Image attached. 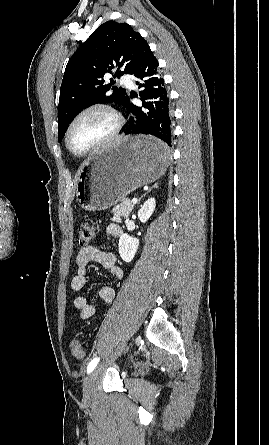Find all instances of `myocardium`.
<instances>
[{"mask_svg":"<svg viewBox=\"0 0 269 445\" xmlns=\"http://www.w3.org/2000/svg\"><path fill=\"white\" fill-rule=\"evenodd\" d=\"M94 112H101L109 117L111 120V128L108 131L107 134H105L103 137H101L99 140L94 142L91 146L86 148L85 150L81 152L74 151L70 146V135L72 133V130L74 129L75 125L78 123V121L83 118L84 116L94 113ZM124 125V120L122 115L118 110H116L113 106L106 104V103H94L89 106H86L79 110L71 119L69 122L65 134H64V144L67 149V151L74 157L82 158L85 156H88L100 148L104 147L108 143H110L112 140H114L119 133L121 132Z\"/></svg>","mask_w":269,"mask_h":445,"instance_id":"obj_1","label":"myocardium"}]
</instances>
